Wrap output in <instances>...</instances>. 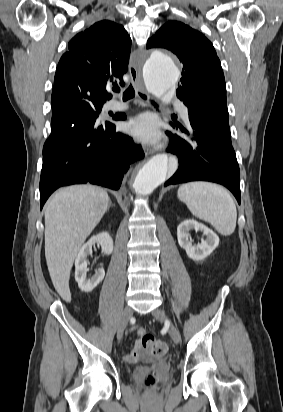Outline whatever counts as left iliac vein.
Segmentation results:
<instances>
[{"instance_id":"1","label":"left iliac vein","mask_w":283,"mask_h":412,"mask_svg":"<svg viewBox=\"0 0 283 412\" xmlns=\"http://www.w3.org/2000/svg\"><path fill=\"white\" fill-rule=\"evenodd\" d=\"M152 315L158 321H161V322L168 321L167 315L162 309L157 308V309L153 310ZM169 334H170L172 340L176 344H178L180 342V339H181L180 334H179L178 330L176 329V327L170 322H169Z\"/></svg>"}]
</instances>
